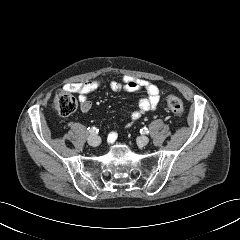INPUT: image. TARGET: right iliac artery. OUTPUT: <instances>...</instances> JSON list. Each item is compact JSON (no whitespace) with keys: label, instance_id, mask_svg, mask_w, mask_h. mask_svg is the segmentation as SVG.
Segmentation results:
<instances>
[{"label":"right iliac artery","instance_id":"82829eb1","mask_svg":"<svg viewBox=\"0 0 240 240\" xmlns=\"http://www.w3.org/2000/svg\"><path fill=\"white\" fill-rule=\"evenodd\" d=\"M88 130H89V133H91L93 135L98 133V129L95 127H89Z\"/></svg>","mask_w":240,"mask_h":240}]
</instances>
